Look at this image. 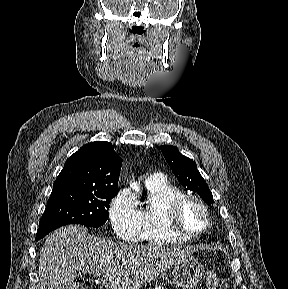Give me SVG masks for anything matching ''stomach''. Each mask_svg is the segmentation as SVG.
<instances>
[{
	"label": "stomach",
	"instance_id": "stomach-1",
	"mask_svg": "<svg viewBox=\"0 0 288 289\" xmlns=\"http://www.w3.org/2000/svg\"><path fill=\"white\" fill-rule=\"evenodd\" d=\"M204 268L195 258H188L173 266L172 282L180 289H193L199 284Z\"/></svg>",
	"mask_w": 288,
	"mask_h": 289
}]
</instances>
